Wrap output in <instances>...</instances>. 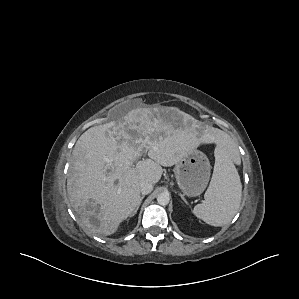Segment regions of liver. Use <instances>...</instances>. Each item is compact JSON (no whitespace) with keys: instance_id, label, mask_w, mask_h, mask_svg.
I'll return each instance as SVG.
<instances>
[{"instance_id":"1","label":"liver","mask_w":299,"mask_h":299,"mask_svg":"<svg viewBox=\"0 0 299 299\" xmlns=\"http://www.w3.org/2000/svg\"><path fill=\"white\" fill-rule=\"evenodd\" d=\"M215 136L224 142L222 131ZM197 145L194 135L172 123L170 109L136 108L89 128L73 148L67 179L80 222L92 234L115 233L138 205L140 182L157 183L162 166L176 165ZM143 151L149 158L139 160Z\"/></svg>"}]
</instances>
